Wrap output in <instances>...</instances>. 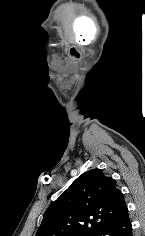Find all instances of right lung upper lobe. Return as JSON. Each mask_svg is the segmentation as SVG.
<instances>
[{
	"mask_svg": "<svg viewBox=\"0 0 145 236\" xmlns=\"http://www.w3.org/2000/svg\"><path fill=\"white\" fill-rule=\"evenodd\" d=\"M126 207L115 180L92 169L49 206L36 236H94Z\"/></svg>",
	"mask_w": 145,
	"mask_h": 236,
	"instance_id": "obj_1",
	"label": "right lung upper lobe"
}]
</instances>
